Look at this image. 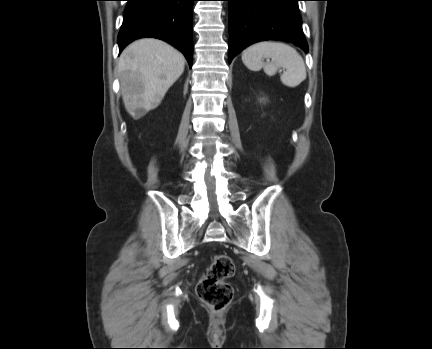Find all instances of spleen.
Listing matches in <instances>:
<instances>
[{"instance_id":"1","label":"spleen","mask_w":432,"mask_h":349,"mask_svg":"<svg viewBox=\"0 0 432 349\" xmlns=\"http://www.w3.org/2000/svg\"><path fill=\"white\" fill-rule=\"evenodd\" d=\"M272 59V62L265 63L263 59ZM244 65L252 70L261 69L273 76L279 68L286 71L281 74V82L288 87H296L306 79L305 63L301 55L290 45L281 42L263 41L251 45L242 53Z\"/></svg>"}]
</instances>
